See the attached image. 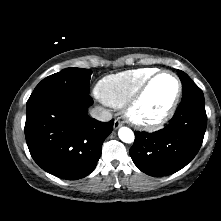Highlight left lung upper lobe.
Here are the masks:
<instances>
[{
  "label": "left lung upper lobe",
  "mask_w": 221,
  "mask_h": 221,
  "mask_svg": "<svg viewBox=\"0 0 221 221\" xmlns=\"http://www.w3.org/2000/svg\"><path fill=\"white\" fill-rule=\"evenodd\" d=\"M178 75L183 87V95L181 101L189 98L204 99L202 90L190 79V77L186 73L178 70Z\"/></svg>",
  "instance_id": "1"
}]
</instances>
